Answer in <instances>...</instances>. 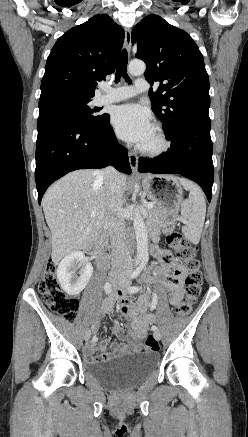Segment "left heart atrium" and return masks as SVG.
Masks as SVG:
<instances>
[{"mask_svg": "<svg viewBox=\"0 0 248 437\" xmlns=\"http://www.w3.org/2000/svg\"><path fill=\"white\" fill-rule=\"evenodd\" d=\"M111 121L122 139L139 145L154 130L149 112L138 104L118 106L112 113Z\"/></svg>", "mask_w": 248, "mask_h": 437, "instance_id": "1", "label": "left heart atrium"}]
</instances>
